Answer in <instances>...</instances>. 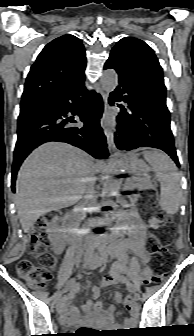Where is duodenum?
I'll return each instance as SVG.
<instances>
[{
    "label": "duodenum",
    "mask_w": 194,
    "mask_h": 336,
    "mask_svg": "<svg viewBox=\"0 0 194 336\" xmlns=\"http://www.w3.org/2000/svg\"><path fill=\"white\" fill-rule=\"evenodd\" d=\"M77 217L72 213H68L65 215L63 220V227L66 229L69 235V240L71 244H75L78 241V232H77ZM96 258L99 262L105 260L106 256L103 250H101L97 255Z\"/></svg>",
    "instance_id": "duodenum-1"
}]
</instances>
